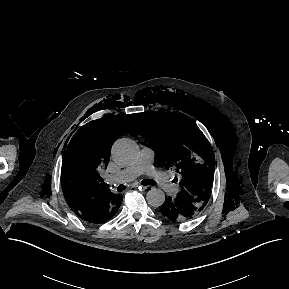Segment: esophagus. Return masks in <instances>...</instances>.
Segmentation results:
<instances>
[{"mask_svg":"<svg viewBox=\"0 0 289 289\" xmlns=\"http://www.w3.org/2000/svg\"><path fill=\"white\" fill-rule=\"evenodd\" d=\"M132 188H140L142 190H148L150 188V186H141V185H133Z\"/></svg>","mask_w":289,"mask_h":289,"instance_id":"34e87169","label":"esophagus"}]
</instances>
